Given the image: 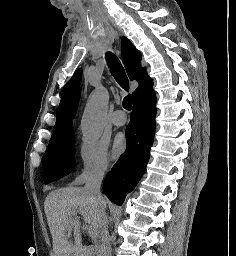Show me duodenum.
<instances>
[{"instance_id": "duodenum-1", "label": "duodenum", "mask_w": 236, "mask_h": 256, "mask_svg": "<svg viewBox=\"0 0 236 256\" xmlns=\"http://www.w3.org/2000/svg\"><path fill=\"white\" fill-rule=\"evenodd\" d=\"M81 256H92L90 247H85Z\"/></svg>"}]
</instances>
